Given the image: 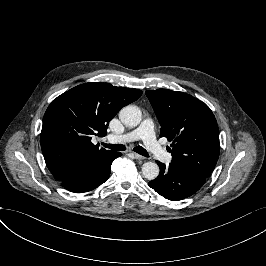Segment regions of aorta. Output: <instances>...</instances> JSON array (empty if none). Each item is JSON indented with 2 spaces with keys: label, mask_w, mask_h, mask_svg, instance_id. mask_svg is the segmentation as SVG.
I'll return each instance as SVG.
<instances>
[{
  "label": "aorta",
  "mask_w": 266,
  "mask_h": 266,
  "mask_svg": "<svg viewBox=\"0 0 266 266\" xmlns=\"http://www.w3.org/2000/svg\"><path fill=\"white\" fill-rule=\"evenodd\" d=\"M119 119L128 127H136L141 122L142 112L137 106L128 105L120 110ZM159 171V166L155 162H146L142 165V174L147 180L156 179Z\"/></svg>",
  "instance_id": "1"
}]
</instances>
